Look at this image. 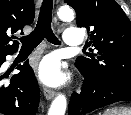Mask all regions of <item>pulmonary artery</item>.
<instances>
[{
  "mask_svg": "<svg viewBox=\"0 0 131 115\" xmlns=\"http://www.w3.org/2000/svg\"><path fill=\"white\" fill-rule=\"evenodd\" d=\"M83 43V35L77 28H69L64 32V45L77 47Z\"/></svg>",
  "mask_w": 131,
  "mask_h": 115,
  "instance_id": "1",
  "label": "pulmonary artery"
}]
</instances>
